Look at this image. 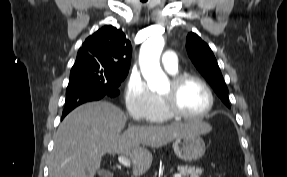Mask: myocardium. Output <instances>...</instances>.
Returning a JSON list of instances; mask_svg holds the SVG:
<instances>
[{
    "label": "myocardium",
    "mask_w": 287,
    "mask_h": 177,
    "mask_svg": "<svg viewBox=\"0 0 287 177\" xmlns=\"http://www.w3.org/2000/svg\"><path fill=\"white\" fill-rule=\"evenodd\" d=\"M188 82L199 83L206 91L209 103L204 112L200 114H189L180 110L177 106V96L182 89V87ZM171 87L169 92L161 94V99L166 112L170 117L180 118V119H202L207 117L213 110L215 104V97L210 85L201 77L193 74H179L172 78Z\"/></svg>",
    "instance_id": "obj_1"
}]
</instances>
